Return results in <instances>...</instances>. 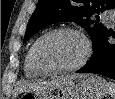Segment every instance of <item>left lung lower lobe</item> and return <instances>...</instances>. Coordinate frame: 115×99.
<instances>
[{"mask_svg":"<svg viewBox=\"0 0 115 99\" xmlns=\"http://www.w3.org/2000/svg\"><path fill=\"white\" fill-rule=\"evenodd\" d=\"M111 35L115 38L113 31L105 32L90 60L77 73H95L115 80V43L108 42Z\"/></svg>","mask_w":115,"mask_h":99,"instance_id":"1","label":"left lung lower lobe"}]
</instances>
